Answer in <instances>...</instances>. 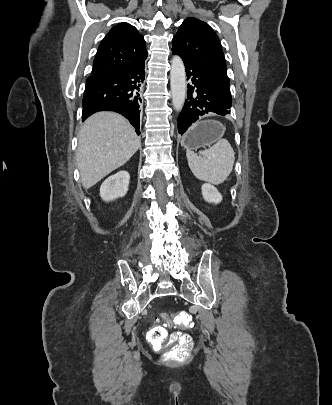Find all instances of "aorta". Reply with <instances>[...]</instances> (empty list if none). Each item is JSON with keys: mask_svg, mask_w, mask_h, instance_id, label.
<instances>
[{"mask_svg": "<svg viewBox=\"0 0 332 405\" xmlns=\"http://www.w3.org/2000/svg\"><path fill=\"white\" fill-rule=\"evenodd\" d=\"M170 86L172 105L175 111L180 112L186 97V72L183 60L177 55L171 60Z\"/></svg>", "mask_w": 332, "mask_h": 405, "instance_id": "aorta-1", "label": "aorta"}]
</instances>
